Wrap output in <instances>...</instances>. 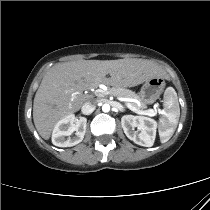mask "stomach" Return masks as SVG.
Segmentation results:
<instances>
[{
	"label": "stomach",
	"instance_id": "obj_1",
	"mask_svg": "<svg viewBox=\"0 0 210 210\" xmlns=\"http://www.w3.org/2000/svg\"><path fill=\"white\" fill-rule=\"evenodd\" d=\"M165 88V81L160 77L146 80L141 88L139 99L145 106L154 103Z\"/></svg>",
	"mask_w": 210,
	"mask_h": 210
}]
</instances>
